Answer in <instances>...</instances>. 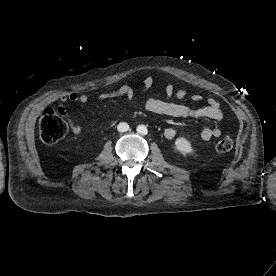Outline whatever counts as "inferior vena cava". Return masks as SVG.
Listing matches in <instances>:
<instances>
[{
    "label": "inferior vena cava",
    "instance_id": "1",
    "mask_svg": "<svg viewBox=\"0 0 276 276\" xmlns=\"http://www.w3.org/2000/svg\"><path fill=\"white\" fill-rule=\"evenodd\" d=\"M119 132H126L129 130V125L126 122H121L117 126Z\"/></svg>",
    "mask_w": 276,
    "mask_h": 276
}]
</instances>
